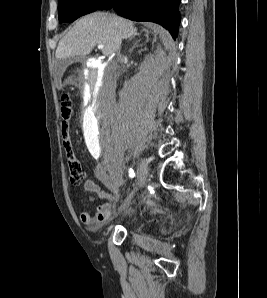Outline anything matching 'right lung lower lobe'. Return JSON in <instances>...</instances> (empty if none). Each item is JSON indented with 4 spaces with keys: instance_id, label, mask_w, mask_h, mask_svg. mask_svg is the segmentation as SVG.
<instances>
[{
    "instance_id": "obj_1",
    "label": "right lung lower lobe",
    "mask_w": 267,
    "mask_h": 298,
    "mask_svg": "<svg viewBox=\"0 0 267 298\" xmlns=\"http://www.w3.org/2000/svg\"><path fill=\"white\" fill-rule=\"evenodd\" d=\"M181 0H105L97 10L114 8L118 15L135 20L151 21L169 30L175 39L178 34Z\"/></svg>"
}]
</instances>
